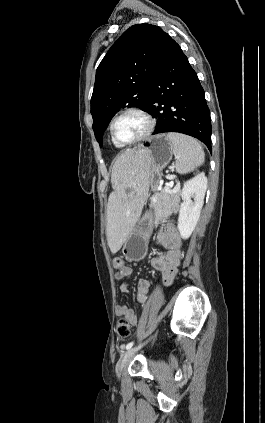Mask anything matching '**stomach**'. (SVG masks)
<instances>
[{"label":"stomach","mask_w":265,"mask_h":423,"mask_svg":"<svg viewBox=\"0 0 265 423\" xmlns=\"http://www.w3.org/2000/svg\"><path fill=\"white\" fill-rule=\"evenodd\" d=\"M139 149L150 156L149 185L156 191L161 179V171L172 159V143L165 134H161L149 138ZM154 225L155 213L151 208L138 218L124 242L122 253L128 260L140 261L146 256L148 240Z\"/></svg>","instance_id":"1"}]
</instances>
